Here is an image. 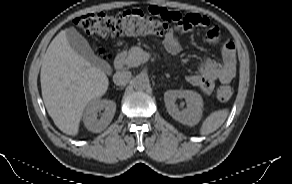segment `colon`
Wrapping results in <instances>:
<instances>
[{"label": "colon", "mask_w": 292, "mask_h": 184, "mask_svg": "<svg viewBox=\"0 0 292 184\" xmlns=\"http://www.w3.org/2000/svg\"><path fill=\"white\" fill-rule=\"evenodd\" d=\"M74 22L88 35L103 37L134 35L163 37L173 26L187 28L189 25L187 16L159 7H151L148 12L134 9L116 14L88 13L79 16ZM216 95L220 101H227L232 96V88L220 85L216 89Z\"/></svg>", "instance_id": "5ec220e1"}]
</instances>
